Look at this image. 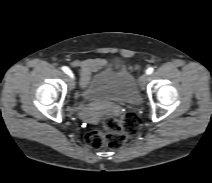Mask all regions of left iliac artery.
Listing matches in <instances>:
<instances>
[{
  "label": "left iliac artery",
  "mask_w": 212,
  "mask_h": 183,
  "mask_svg": "<svg viewBox=\"0 0 212 183\" xmlns=\"http://www.w3.org/2000/svg\"><path fill=\"white\" fill-rule=\"evenodd\" d=\"M153 71H154V69H153L152 67H149V68L146 70V74L149 75V74H151Z\"/></svg>",
  "instance_id": "obj_1"
}]
</instances>
